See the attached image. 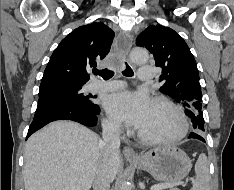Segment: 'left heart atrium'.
<instances>
[{
	"label": "left heart atrium",
	"mask_w": 234,
	"mask_h": 190,
	"mask_svg": "<svg viewBox=\"0 0 234 190\" xmlns=\"http://www.w3.org/2000/svg\"><path fill=\"white\" fill-rule=\"evenodd\" d=\"M152 101L143 91H120L108 95L104 107L111 118L139 129L146 121Z\"/></svg>",
	"instance_id": "obj_1"
}]
</instances>
